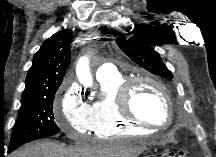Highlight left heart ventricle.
I'll return each mask as SVG.
<instances>
[{
  "mask_svg": "<svg viewBox=\"0 0 216 157\" xmlns=\"http://www.w3.org/2000/svg\"><path fill=\"white\" fill-rule=\"evenodd\" d=\"M132 108L137 116L157 125H162L167 119L165 101L159 89L146 82L136 87Z\"/></svg>",
  "mask_w": 216,
  "mask_h": 157,
  "instance_id": "left-heart-ventricle-1",
  "label": "left heart ventricle"
}]
</instances>
